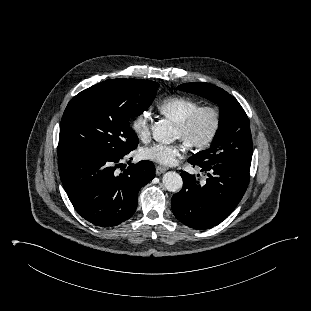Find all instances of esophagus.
<instances>
[{"instance_id": "34e87169", "label": "esophagus", "mask_w": 311, "mask_h": 311, "mask_svg": "<svg viewBox=\"0 0 311 311\" xmlns=\"http://www.w3.org/2000/svg\"><path fill=\"white\" fill-rule=\"evenodd\" d=\"M166 170H167L166 167H163V166H160V165L156 166V174L157 175H160V174L164 173Z\"/></svg>"}]
</instances>
